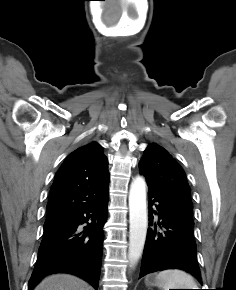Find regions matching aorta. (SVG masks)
Listing matches in <instances>:
<instances>
[{
  "label": "aorta",
  "mask_w": 236,
  "mask_h": 290,
  "mask_svg": "<svg viewBox=\"0 0 236 290\" xmlns=\"http://www.w3.org/2000/svg\"><path fill=\"white\" fill-rule=\"evenodd\" d=\"M129 249L130 266L140 259L147 234L146 182L142 177L134 179L129 191Z\"/></svg>",
  "instance_id": "1"
}]
</instances>
